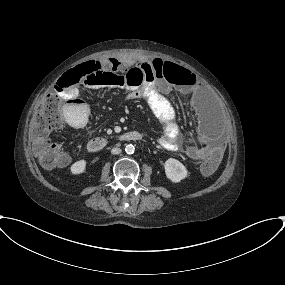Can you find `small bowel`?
Here are the masks:
<instances>
[{
	"mask_svg": "<svg viewBox=\"0 0 285 285\" xmlns=\"http://www.w3.org/2000/svg\"><path fill=\"white\" fill-rule=\"evenodd\" d=\"M118 62L119 69H125L131 65L139 66L145 76V85L141 91L130 92L128 99L146 100L152 115L163 125V132L159 137V144L168 151H180L192 160L201 161L210 158L215 153L224 152V143L220 140L214 124L203 120L196 135H185L181 132L176 122V112L168 99L161 93V90L178 92L182 87L197 85L198 79L193 73L182 66L172 64L173 73L166 79L160 80L157 75L158 67L165 62L161 59L154 61H135L129 56L114 57ZM85 85L91 89L113 87L103 80H88ZM61 96L66 100L64 105V116L71 128H80L82 120L89 119V106L83 100L78 85L67 88L65 84L59 87ZM197 101L200 103L201 99Z\"/></svg>",
	"mask_w": 285,
	"mask_h": 285,
	"instance_id": "c3829d8e",
	"label": "small bowel"
}]
</instances>
